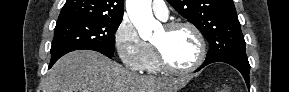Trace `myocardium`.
Listing matches in <instances>:
<instances>
[{"label": "myocardium", "instance_id": "myocardium-1", "mask_svg": "<svg viewBox=\"0 0 289 92\" xmlns=\"http://www.w3.org/2000/svg\"><path fill=\"white\" fill-rule=\"evenodd\" d=\"M164 28L167 29L168 31H172L178 28L190 29L198 40L199 54L196 61L192 65L185 68H179L170 64L166 59L165 55L163 54V52L160 50V48L153 43L156 58L160 68L163 69L164 71L174 74L190 73L198 69L203 64L207 54V43L202 31L194 23L189 21L169 22L164 26Z\"/></svg>", "mask_w": 289, "mask_h": 92}]
</instances>
